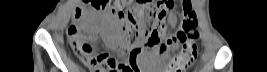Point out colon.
Masks as SVG:
<instances>
[{"instance_id":"5ec220e1","label":"colon","mask_w":267,"mask_h":72,"mask_svg":"<svg viewBox=\"0 0 267 72\" xmlns=\"http://www.w3.org/2000/svg\"><path fill=\"white\" fill-rule=\"evenodd\" d=\"M92 8L109 16L115 17L116 26L125 32L131 52H138L145 46L158 47L164 51L173 42L172 35L165 23L172 7V0L134 1V0H91ZM137 4L140 7L134 8ZM84 8L79 5L73 13V23L67 34L69 42L80 55L81 62L102 72H120L123 65L108 53L93 55L92 46L85 36L83 20ZM181 33L184 44L181 52L171 64L172 72L185 71L197 57L195 38L197 22L188 2H182Z\"/></svg>"}]
</instances>
